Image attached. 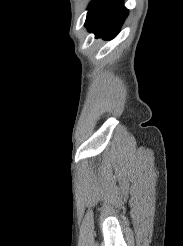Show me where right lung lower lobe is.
I'll list each match as a JSON object with an SVG mask.
<instances>
[{"label": "right lung lower lobe", "instance_id": "right-lung-lower-lobe-1", "mask_svg": "<svg viewBox=\"0 0 183 246\" xmlns=\"http://www.w3.org/2000/svg\"><path fill=\"white\" fill-rule=\"evenodd\" d=\"M128 10L123 0H92L88 6L85 25L89 32L105 40L114 38L120 30Z\"/></svg>", "mask_w": 183, "mask_h": 246}]
</instances>
